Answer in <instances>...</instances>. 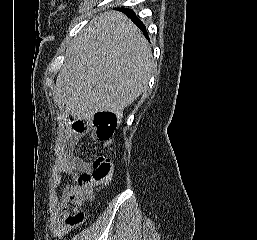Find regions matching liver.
Masks as SVG:
<instances>
[{
  "label": "liver",
  "instance_id": "6515ba94",
  "mask_svg": "<svg viewBox=\"0 0 257 240\" xmlns=\"http://www.w3.org/2000/svg\"><path fill=\"white\" fill-rule=\"evenodd\" d=\"M153 57L141 31L123 13L97 16L66 51L54 100L65 113L88 118L108 111L118 118L147 89Z\"/></svg>",
  "mask_w": 257,
  "mask_h": 240
}]
</instances>
